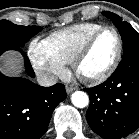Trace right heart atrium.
Wrapping results in <instances>:
<instances>
[{
  "mask_svg": "<svg viewBox=\"0 0 139 139\" xmlns=\"http://www.w3.org/2000/svg\"><path fill=\"white\" fill-rule=\"evenodd\" d=\"M28 56L35 71L46 81H54L66 73V64L49 50L44 41L33 40Z\"/></svg>",
  "mask_w": 139,
  "mask_h": 139,
  "instance_id": "right-heart-atrium-1",
  "label": "right heart atrium"
}]
</instances>
